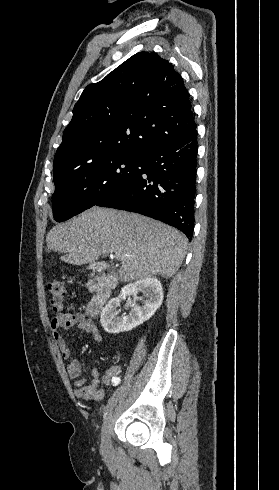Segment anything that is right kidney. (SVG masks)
Listing matches in <instances>:
<instances>
[{
  "mask_svg": "<svg viewBox=\"0 0 279 490\" xmlns=\"http://www.w3.org/2000/svg\"><path fill=\"white\" fill-rule=\"evenodd\" d=\"M138 292H143L147 302L144 306H131L132 312L129 316L123 314L119 316L122 300H125L126 296H135L137 298ZM163 302V288L161 282L157 280L156 276H144L141 280L133 282V284H127L120 292L118 298H112L105 308H103L100 316L101 326H103L105 332L108 334H120V332H130L133 328H137L146 320H150L154 316L156 310L160 308Z\"/></svg>",
  "mask_w": 279,
  "mask_h": 490,
  "instance_id": "right-kidney-1",
  "label": "right kidney"
}]
</instances>
